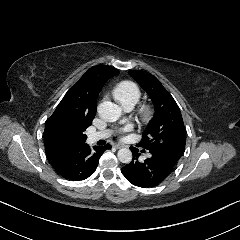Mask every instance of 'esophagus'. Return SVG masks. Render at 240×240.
Segmentation results:
<instances>
[{
  "mask_svg": "<svg viewBox=\"0 0 240 240\" xmlns=\"http://www.w3.org/2000/svg\"><path fill=\"white\" fill-rule=\"evenodd\" d=\"M115 147H116L117 149H119V148L127 147V145H125V144H116Z\"/></svg>",
  "mask_w": 240,
  "mask_h": 240,
  "instance_id": "34e87169",
  "label": "esophagus"
}]
</instances>
